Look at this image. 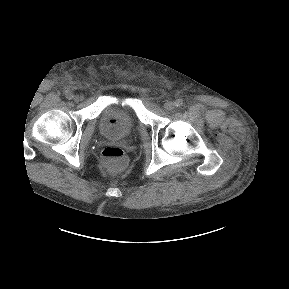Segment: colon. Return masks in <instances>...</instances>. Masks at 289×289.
I'll return each instance as SVG.
<instances>
[{
	"label": "colon",
	"mask_w": 289,
	"mask_h": 289,
	"mask_svg": "<svg viewBox=\"0 0 289 289\" xmlns=\"http://www.w3.org/2000/svg\"><path fill=\"white\" fill-rule=\"evenodd\" d=\"M101 162L108 170L117 173L125 168L127 157L121 148L108 146L102 150Z\"/></svg>",
	"instance_id": "colon-1"
}]
</instances>
